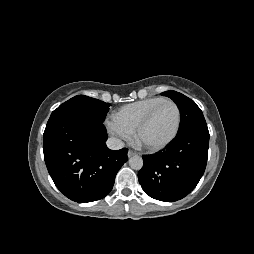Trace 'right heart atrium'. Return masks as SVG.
Instances as JSON below:
<instances>
[{"label": "right heart atrium", "instance_id": "right-heart-atrium-1", "mask_svg": "<svg viewBox=\"0 0 254 254\" xmlns=\"http://www.w3.org/2000/svg\"><path fill=\"white\" fill-rule=\"evenodd\" d=\"M105 127L107 132L119 142L131 141L133 138V131L121 124L114 116L106 120Z\"/></svg>", "mask_w": 254, "mask_h": 254}]
</instances>
